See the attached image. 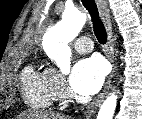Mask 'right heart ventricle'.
Listing matches in <instances>:
<instances>
[{
  "instance_id": "obj_1",
  "label": "right heart ventricle",
  "mask_w": 142,
  "mask_h": 119,
  "mask_svg": "<svg viewBox=\"0 0 142 119\" xmlns=\"http://www.w3.org/2000/svg\"><path fill=\"white\" fill-rule=\"evenodd\" d=\"M23 98L33 107H50L54 100V88L52 79L47 70H36L30 66L23 75Z\"/></svg>"
}]
</instances>
